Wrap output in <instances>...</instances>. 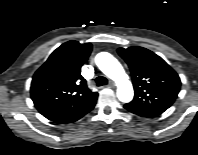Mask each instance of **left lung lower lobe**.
Masks as SVG:
<instances>
[{
    "instance_id": "1",
    "label": "left lung lower lobe",
    "mask_w": 198,
    "mask_h": 155,
    "mask_svg": "<svg viewBox=\"0 0 198 155\" xmlns=\"http://www.w3.org/2000/svg\"><path fill=\"white\" fill-rule=\"evenodd\" d=\"M124 108L127 109L128 111L135 113L139 116H143V117H153V116H157L159 115L158 113H150V112H143V111H139L130 107H127L126 105H124Z\"/></svg>"
}]
</instances>
